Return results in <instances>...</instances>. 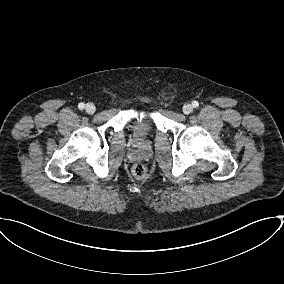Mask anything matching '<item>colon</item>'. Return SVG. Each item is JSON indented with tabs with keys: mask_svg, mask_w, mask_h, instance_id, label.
<instances>
[{
	"mask_svg": "<svg viewBox=\"0 0 284 284\" xmlns=\"http://www.w3.org/2000/svg\"><path fill=\"white\" fill-rule=\"evenodd\" d=\"M133 175L138 179H144L147 176L148 170L145 165L137 163L132 167Z\"/></svg>",
	"mask_w": 284,
	"mask_h": 284,
	"instance_id": "1",
	"label": "colon"
}]
</instances>
